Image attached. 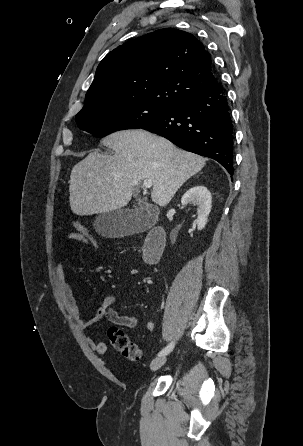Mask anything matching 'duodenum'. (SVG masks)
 Segmentation results:
<instances>
[{
  "instance_id": "duodenum-1",
  "label": "duodenum",
  "mask_w": 303,
  "mask_h": 446,
  "mask_svg": "<svg viewBox=\"0 0 303 446\" xmlns=\"http://www.w3.org/2000/svg\"><path fill=\"white\" fill-rule=\"evenodd\" d=\"M166 245L165 231L159 227H153L147 234L143 243V258L153 264L159 260Z\"/></svg>"
}]
</instances>
